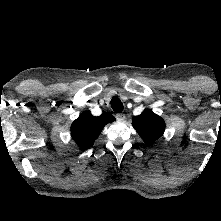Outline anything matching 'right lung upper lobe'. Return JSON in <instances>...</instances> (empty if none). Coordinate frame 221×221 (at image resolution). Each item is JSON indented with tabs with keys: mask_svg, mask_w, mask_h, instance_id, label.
<instances>
[{
	"mask_svg": "<svg viewBox=\"0 0 221 221\" xmlns=\"http://www.w3.org/2000/svg\"><path fill=\"white\" fill-rule=\"evenodd\" d=\"M114 121L115 118L110 113L95 117L84 112L71 125L72 138L81 148L91 147L104 126Z\"/></svg>",
	"mask_w": 221,
	"mask_h": 221,
	"instance_id": "obj_1",
	"label": "right lung upper lobe"
}]
</instances>
